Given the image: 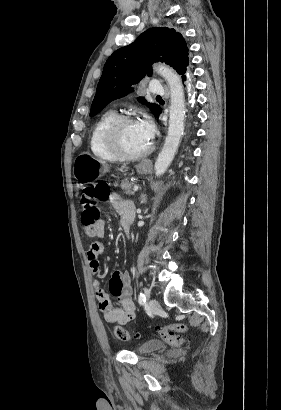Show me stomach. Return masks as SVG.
Here are the masks:
<instances>
[{
	"label": "stomach",
	"instance_id": "0dacf381",
	"mask_svg": "<svg viewBox=\"0 0 281 410\" xmlns=\"http://www.w3.org/2000/svg\"><path fill=\"white\" fill-rule=\"evenodd\" d=\"M139 174H146L148 166L141 162L136 166ZM109 171L108 164L92 155L83 153L75 158L73 163V176L79 182L80 186L89 184Z\"/></svg>",
	"mask_w": 281,
	"mask_h": 410
}]
</instances>
